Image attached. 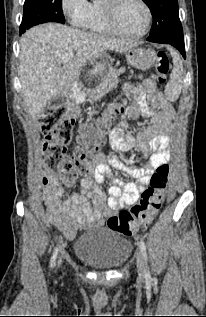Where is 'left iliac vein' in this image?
<instances>
[{"label":"left iliac vein","instance_id":"obj_1","mask_svg":"<svg viewBox=\"0 0 206 317\" xmlns=\"http://www.w3.org/2000/svg\"><path fill=\"white\" fill-rule=\"evenodd\" d=\"M136 265L140 278H144L146 274V267L144 257L141 251H138L136 254Z\"/></svg>","mask_w":206,"mask_h":317}]
</instances>
